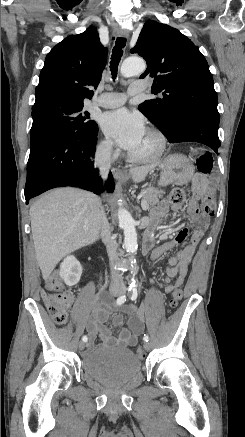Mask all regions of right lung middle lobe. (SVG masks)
Instances as JSON below:
<instances>
[{
	"mask_svg": "<svg viewBox=\"0 0 245 437\" xmlns=\"http://www.w3.org/2000/svg\"><path fill=\"white\" fill-rule=\"evenodd\" d=\"M82 108L83 104L67 102H50L32 107L31 143L48 132H56L68 139L92 135L98 125L89 119L88 112H82Z\"/></svg>",
	"mask_w": 245,
	"mask_h": 437,
	"instance_id": "obj_1",
	"label": "right lung middle lobe"
}]
</instances>
